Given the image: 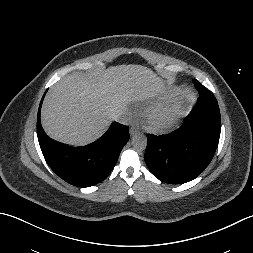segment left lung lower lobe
<instances>
[{
    "mask_svg": "<svg viewBox=\"0 0 253 253\" xmlns=\"http://www.w3.org/2000/svg\"><path fill=\"white\" fill-rule=\"evenodd\" d=\"M200 97L181 127L167 135L148 134L145 162L152 174L170 184H181L200 175L216 151L221 116L215 96L193 80Z\"/></svg>",
    "mask_w": 253,
    "mask_h": 253,
    "instance_id": "obj_1",
    "label": "left lung lower lobe"
}]
</instances>
